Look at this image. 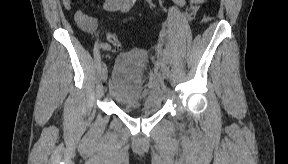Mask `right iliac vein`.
Instances as JSON below:
<instances>
[{"label":"right iliac vein","instance_id":"63e3f726","mask_svg":"<svg viewBox=\"0 0 288 164\" xmlns=\"http://www.w3.org/2000/svg\"><path fill=\"white\" fill-rule=\"evenodd\" d=\"M101 77H102V80H103L104 82L107 80L108 71H107V66H106L105 64H103V66H102Z\"/></svg>","mask_w":288,"mask_h":164}]
</instances>
